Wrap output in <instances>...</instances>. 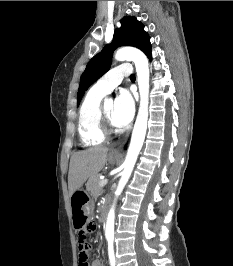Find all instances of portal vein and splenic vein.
Instances as JSON below:
<instances>
[{
  "instance_id": "portal-vein-and-splenic-vein-1",
  "label": "portal vein and splenic vein",
  "mask_w": 233,
  "mask_h": 266,
  "mask_svg": "<svg viewBox=\"0 0 233 266\" xmlns=\"http://www.w3.org/2000/svg\"><path fill=\"white\" fill-rule=\"evenodd\" d=\"M107 183H108V179H103V180L100 181L99 185H100L101 187H103V186H105Z\"/></svg>"
}]
</instances>
